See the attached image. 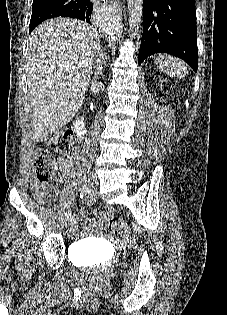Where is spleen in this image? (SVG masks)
I'll return each mask as SVG.
<instances>
[{
    "label": "spleen",
    "instance_id": "spleen-1",
    "mask_svg": "<svg viewBox=\"0 0 227 315\" xmlns=\"http://www.w3.org/2000/svg\"><path fill=\"white\" fill-rule=\"evenodd\" d=\"M159 68L170 75H179L183 77L187 73V68L178 59L167 57L165 60L158 59Z\"/></svg>",
    "mask_w": 227,
    "mask_h": 315
}]
</instances>
